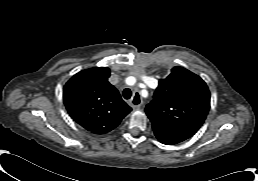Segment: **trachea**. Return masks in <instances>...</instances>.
Listing matches in <instances>:
<instances>
[{
  "instance_id": "3493384b",
  "label": "trachea",
  "mask_w": 258,
  "mask_h": 181,
  "mask_svg": "<svg viewBox=\"0 0 258 181\" xmlns=\"http://www.w3.org/2000/svg\"><path fill=\"white\" fill-rule=\"evenodd\" d=\"M122 95L125 99H130L131 95H132V92H131L130 89L126 88V89L123 90Z\"/></svg>"
}]
</instances>
